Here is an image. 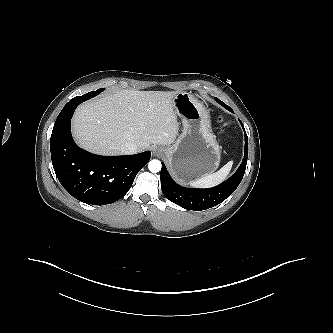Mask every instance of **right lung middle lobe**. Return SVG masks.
I'll use <instances>...</instances> for the list:
<instances>
[{
  "instance_id": "1",
  "label": "right lung middle lobe",
  "mask_w": 333,
  "mask_h": 333,
  "mask_svg": "<svg viewBox=\"0 0 333 333\" xmlns=\"http://www.w3.org/2000/svg\"><path fill=\"white\" fill-rule=\"evenodd\" d=\"M102 91H103V89H98L96 91H91L89 93H86L82 96H77V97L71 99L66 105H72V104H76V103L80 104V103L100 94Z\"/></svg>"
}]
</instances>
